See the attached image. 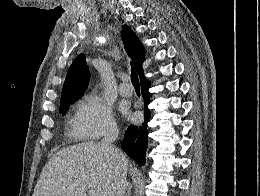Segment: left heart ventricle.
I'll return each mask as SVG.
<instances>
[{"label":"left heart ventricle","mask_w":260,"mask_h":196,"mask_svg":"<svg viewBox=\"0 0 260 196\" xmlns=\"http://www.w3.org/2000/svg\"><path fill=\"white\" fill-rule=\"evenodd\" d=\"M99 192H106V190H96ZM55 192H66V190H55Z\"/></svg>","instance_id":"obj_1"}]
</instances>
